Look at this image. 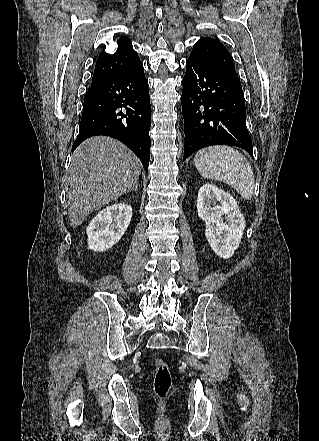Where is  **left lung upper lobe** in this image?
<instances>
[{
  "mask_svg": "<svg viewBox=\"0 0 319 441\" xmlns=\"http://www.w3.org/2000/svg\"><path fill=\"white\" fill-rule=\"evenodd\" d=\"M190 57L214 69L220 70L239 81L232 56L217 39H211L209 37L201 38L194 45Z\"/></svg>",
  "mask_w": 319,
  "mask_h": 441,
  "instance_id": "left-lung-upper-lobe-1",
  "label": "left lung upper lobe"
}]
</instances>
